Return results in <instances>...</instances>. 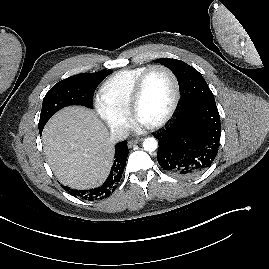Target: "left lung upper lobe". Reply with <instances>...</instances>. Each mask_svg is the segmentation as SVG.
Instances as JSON below:
<instances>
[{"label":"left lung upper lobe","instance_id":"5c2ea615","mask_svg":"<svg viewBox=\"0 0 269 269\" xmlns=\"http://www.w3.org/2000/svg\"><path fill=\"white\" fill-rule=\"evenodd\" d=\"M156 62L171 69L181 91L180 110L194 103H215V98L203 76L193 67L177 59L162 58Z\"/></svg>","mask_w":269,"mask_h":269}]
</instances>
